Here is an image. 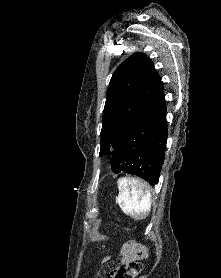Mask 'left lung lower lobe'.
Instances as JSON below:
<instances>
[{"instance_id":"1","label":"left lung lower lobe","mask_w":221,"mask_h":278,"mask_svg":"<svg viewBox=\"0 0 221 278\" xmlns=\"http://www.w3.org/2000/svg\"><path fill=\"white\" fill-rule=\"evenodd\" d=\"M166 141V103L161 82L149 104L112 151V170L137 175L154 186L159 181Z\"/></svg>"}]
</instances>
